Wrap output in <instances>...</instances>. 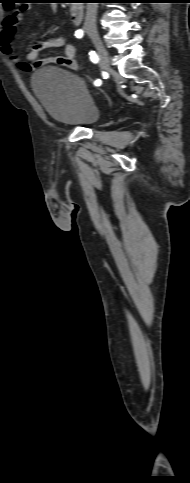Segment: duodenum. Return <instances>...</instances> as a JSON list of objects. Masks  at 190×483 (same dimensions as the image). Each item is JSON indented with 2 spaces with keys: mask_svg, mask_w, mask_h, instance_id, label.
Here are the masks:
<instances>
[{
  "mask_svg": "<svg viewBox=\"0 0 190 483\" xmlns=\"http://www.w3.org/2000/svg\"><path fill=\"white\" fill-rule=\"evenodd\" d=\"M69 14L71 22L74 25L79 24L84 16L83 2L80 0L73 1L69 8Z\"/></svg>",
  "mask_w": 190,
  "mask_h": 483,
  "instance_id": "duodenum-1",
  "label": "duodenum"
}]
</instances>
